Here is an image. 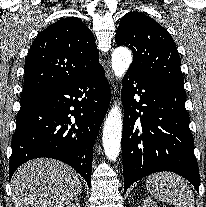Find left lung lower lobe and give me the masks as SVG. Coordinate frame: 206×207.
<instances>
[{
	"instance_id": "0a47b994",
	"label": "left lung lower lobe",
	"mask_w": 206,
	"mask_h": 207,
	"mask_svg": "<svg viewBox=\"0 0 206 207\" xmlns=\"http://www.w3.org/2000/svg\"><path fill=\"white\" fill-rule=\"evenodd\" d=\"M121 98L124 191L149 174L170 171L186 178L199 192L184 88L127 72Z\"/></svg>"
}]
</instances>
